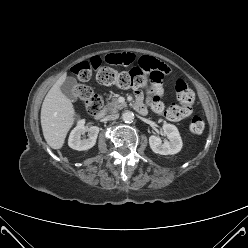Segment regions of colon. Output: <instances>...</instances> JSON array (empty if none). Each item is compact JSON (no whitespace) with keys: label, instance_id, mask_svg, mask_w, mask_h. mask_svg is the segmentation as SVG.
<instances>
[{"label":"colon","instance_id":"5ec220e1","mask_svg":"<svg viewBox=\"0 0 248 248\" xmlns=\"http://www.w3.org/2000/svg\"><path fill=\"white\" fill-rule=\"evenodd\" d=\"M101 61L96 59L84 62L75 67L74 73L81 82H87L92 76V69L99 68L96 73V79L103 85H116L123 89H145L152 97V108L161 112L164 106L157 97V89L163 77L156 78L154 72L151 78L145 75L139 69L118 72L112 67H100ZM176 96L179 105H171L166 110V115L170 120H179L192 108L195 101V94L187 83L181 79L175 82ZM74 95L84 102L89 114L94 115L103 105L102 98L96 94L91 87L86 84H80L75 87ZM205 124L201 117L195 116L189 122V130L193 134H201L204 131Z\"/></svg>","mask_w":248,"mask_h":248}]
</instances>
